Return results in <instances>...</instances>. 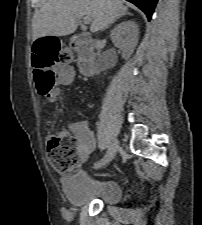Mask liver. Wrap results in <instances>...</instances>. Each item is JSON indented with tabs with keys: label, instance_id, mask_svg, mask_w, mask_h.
<instances>
[{
	"label": "liver",
	"instance_id": "obj_1",
	"mask_svg": "<svg viewBox=\"0 0 202 225\" xmlns=\"http://www.w3.org/2000/svg\"><path fill=\"white\" fill-rule=\"evenodd\" d=\"M122 0H46L32 23L33 40L47 35L65 36L77 29V19L88 16L95 33L126 15Z\"/></svg>",
	"mask_w": 202,
	"mask_h": 225
}]
</instances>
